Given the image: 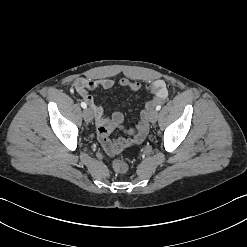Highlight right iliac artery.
I'll return each instance as SVG.
<instances>
[{"mask_svg": "<svg viewBox=\"0 0 247 247\" xmlns=\"http://www.w3.org/2000/svg\"><path fill=\"white\" fill-rule=\"evenodd\" d=\"M81 107L86 109L87 108V104L85 102H81Z\"/></svg>", "mask_w": 247, "mask_h": 247, "instance_id": "obj_1", "label": "right iliac artery"}]
</instances>
